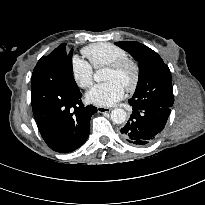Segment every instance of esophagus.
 I'll return each instance as SVG.
<instances>
[{"mask_svg":"<svg viewBox=\"0 0 205 205\" xmlns=\"http://www.w3.org/2000/svg\"><path fill=\"white\" fill-rule=\"evenodd\" d=\"M97 110H98L99 113H105V112H110L111 108L103 107V106H98Z\"/></svg>","mask_w":205,"mask_h":205,"instance_id":"34e87169","label":"esophagus"}]
</instances>
